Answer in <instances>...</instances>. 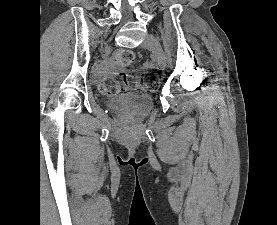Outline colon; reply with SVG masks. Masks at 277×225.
I'll list each match as a JSON object with an SVG mask.
<instances>
[{"mask_svg": "<svg viewBox=\"0 0 277 225\" xmlns=\"http://www.w3.org/2000/svg\"><path fill=\"white\" fill-rule=\"evenodd\" d=\"M135 53L128 49L117 50L111 63L116 68H125L135 61ZM159 85V76L154 69L142 72L128 71L115 73L105 77L99 85V92L103 95H115L123 91L134 90L140 86L146 92H154Z\"/></svg>", "mask_w": 277, "mask_h": 225, "instance_id": "colon-1", "label": "colon"}]
</instances>
